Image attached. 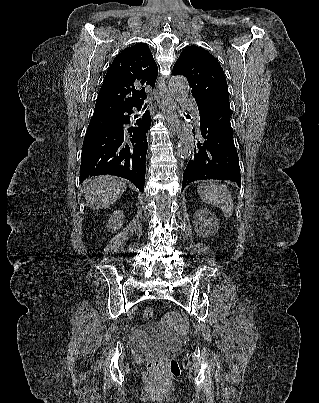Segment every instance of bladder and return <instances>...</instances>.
I'll return each mask as SVG.
<instances>
[{"label": "bladder", "instance_id": "obj_1", "mask_svg": "<svg viewBox=\"0 0 319 403\" xmlns=\"http://www.w3.org/2000/svg\"><path fill=\"white\" fill-rule=\"evenodd\" d=\"M175 334L161 326L139 330L133 340L134 350L139 356H161L178 344Z\"/></svg>", "mask_w": 319, "mask_h": 403}]
</instances>
